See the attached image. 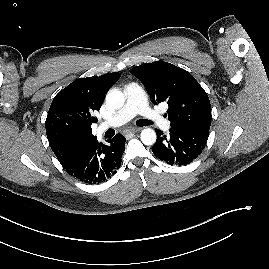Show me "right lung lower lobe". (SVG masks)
Wrapping results in <instances>:
<instances>
[{
	"instance_id": "98d812e1",
	"label": "right lung lower lobe",
	"mask_w": 269,
	"mask_h": 269,
	"mask_svg": "<svg viewBox=\"0 0 269 269\" xmlns=\"http://www.w3.org/2000/svg\"><path fill=\"white\" fill-rule=\"evenodd\" d=\"M126 138L117 134L108 145L97 138L60 162L71 176L87 184H99L111 178L121 166Z\"/></svg>"
}]
</instances>
